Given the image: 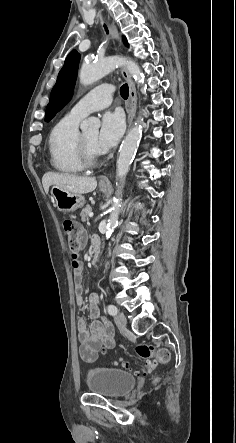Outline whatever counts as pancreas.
I'll return each instance as SVG.
<instances>
[{
    "label": "pancreas",
    "instance_id": "obj_1",
    "mask_svg": "<svg viewBox=\"0 0 236 443\" xmlns=\"http://www.w3.org/2000/svg\"><path fill=\"white\" fill-rule=\"evenodd\" d=\"M92 211V208L90 206H86L85 208L82 209L80 216H81V220L83 222H86L89 220V213Z\"/></svg>",
    "mask_w": 236,
    "mask_h": 443
}]
</instances>
